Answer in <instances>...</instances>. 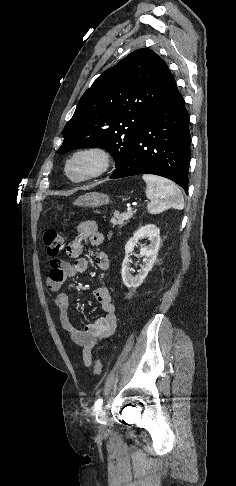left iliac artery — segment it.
<instances>
[{
  "label": "left iliac artery",
  "mask_w": 236,
  "mask_h": 486,
  "mask_svg": "<svg viewBox=\"0 0 236 486\" xmlns=\"http://www.w3.org/2000/svg\"><path fill=\"white\" fill-rule=\"evenodd\" d=\"M103 404V400L102 399H98L96 402H95V410H98L100 409V407L102 406Z\"/></svg>",
  "instance_id": "left-iliac-artery-1"
}]
</instances>
